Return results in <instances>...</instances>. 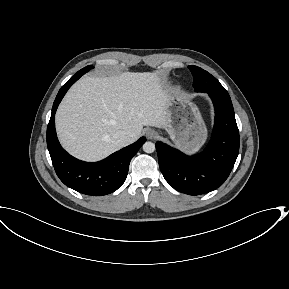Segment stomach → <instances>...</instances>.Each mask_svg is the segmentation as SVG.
Instances as JSON below:
<instances>
[{
    "mask_svg": "<svg viewBox=\"0 0 289 289\" xmlns=\"http://www.w3.org/2000/svg\"><path fill=\"white\" fill-rule=\"evenodd\" d=\"M167 133L176 147L186 153L200 149L207 137V129L198 108L179 93L169 95Z\"/></svg>",
    "mask_w": 289,
    "mask_h": 289,
    "instance_id": "0dacf381",
    "label": "stomach"
}]
</instances>
